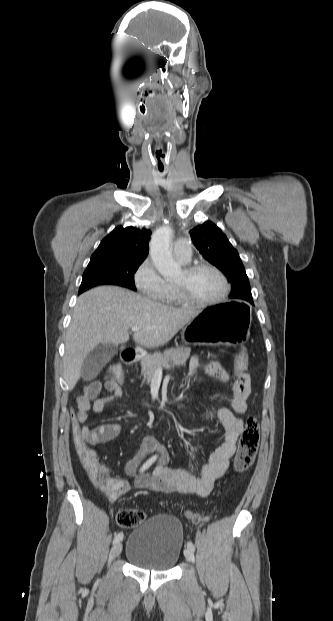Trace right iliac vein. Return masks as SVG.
<instances>
[{
    "instance_id": "1",
    "label": "right iliac vein",
    "mask_w": 333,
    "mask_h": 621,
    "mask_svg": "<svg viewBox=\"0 0 333 621\" xmlns=\"http://www.w3.org/2000/svg\"><path fill=\"white\" fill-rule=\"evenodd\" d=\"M121 551H122V543L118 542L111 548V551L109 554V563H111L116 557H118Z\"/></svg>"
}]
</instances>
